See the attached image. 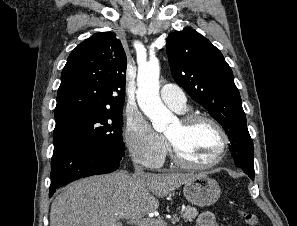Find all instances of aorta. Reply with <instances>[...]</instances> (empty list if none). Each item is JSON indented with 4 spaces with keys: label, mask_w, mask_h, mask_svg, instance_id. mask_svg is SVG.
I'll return each instance as SVG.
<instances>
[{
    "label": "aorta",
    "mask_w": 297,
    "mask_h": 226,
    "mask_svg": "<svg viewBox=\"0 0 297 226\" xmlns=\"http://www.w3.org/2000/svg\"><path fill=\"white\" fill-rule=\"evenodd\" d=\"M160 67L157 60H150L139 67L137 75V102L143 113L152 121L156 131H164L171 118V112L159 96Z\"/></svg>",
    "instance_id": "762f6f07"
}]
</instances>
